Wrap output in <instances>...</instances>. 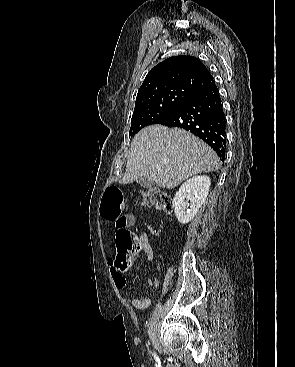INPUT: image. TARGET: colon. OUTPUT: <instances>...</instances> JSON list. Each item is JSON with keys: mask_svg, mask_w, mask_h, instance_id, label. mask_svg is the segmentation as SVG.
Returning a JSON list of instances; mask_svg holds the SVG:
<instances>
[{"mask_svg": "<svg viewBox=\"0 0 295 367\" xmlns=\"http://www.w3.org/2000/svg\"><path fill=\"white\" fill-rule=\"evenodd\" d=\"M143 204L153 206L165 212H171L173 208L172 198L158 188H150L143 193ZM125 208V197L122 190L117 186L107 188L102 205L103 218L119 222ZM117 267L124 270L128 267L132 255L140 249L139 242L127 229H121L117 233Z\"/></svg>", "mask_w": 295, "mask_h": 367, "instance_id": "1", "label": "colon"}]
</instances>
